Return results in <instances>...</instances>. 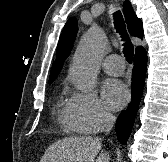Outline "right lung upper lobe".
Returning a JSON list of instances; mask_svg holds the SVG:
<instances>
[{
	"label": "right lung upper lobe",
	"instance_id": "obj_1",
	"mask_svg": "<svg viewBox=\"0 0 168 162\" xmlns=\"http://www.w3.org/2000/svg\"><path fill=\"white\" fill-rule=\"evenodd\" d=\"M124 16L131 35L142 38L143 37V24L142 21L135 15L132 10V6L128 0L124 3ZM77 33V20L75 18H70L64 26L62 34L57 46V58L53 62L49 82L54 81L62 69L63 62L69 56L70 50L72 48L73 42L75 40V35ZM145 50L143 47L139 46L136 52Z\"/></svg>",
	"mask_w": 168,
	"mask_h": 162
}]
</instances>
